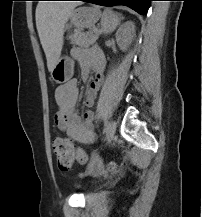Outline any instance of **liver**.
I'll list each match as a JSON object with an SVG mask.
<instances>
[{
	"label": "liver",
	"mask_w": 202,
	"mask_h": 217,
	"mask_svg": "<svg viewBox=\"0 0 202 217\" xmlns=\"http://www.w3.org/2000/svg\"><path fill=\"white\" fill-rule=\"evenodd\" d=\"M77 5L61 2H41L37 5L36 27L49 72H52L60 58L64 43V26Z\"/></svg>",
	"instance_id": "1"
}]
</instances>
